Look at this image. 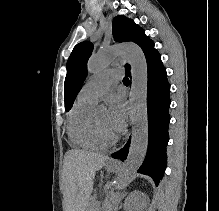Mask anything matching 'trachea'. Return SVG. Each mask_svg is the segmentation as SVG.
<instances>
[{"label": "trachea", "instance_id": "trachea-1", "mask_svg": "<svg viewBox=\"0 0 219 211\" xmlns=\"http://www.w3.org/2000/svg\"><path fill=\"white\" fill-rule=\"evenodd\" d=\"M123 83H124L125 85H128V84H129V79H128L126 76L123 78Z\"/></svg>", "mask_w": 219, "mask_h": 211}]
</instances>
